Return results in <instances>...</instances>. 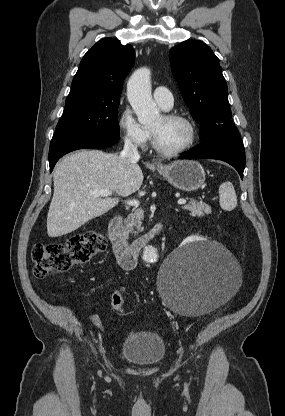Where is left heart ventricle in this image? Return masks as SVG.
<instances>
[{
	"label": "left heart ventricle",
	"mask_w": 285,
	"mask_h": 416,
	"mask_svg": "<svg viewBox=\"0 0 285 416\" xmlns=\"http://www.w3.org/2000/svg\"><path fill=\"white\" fill-rule=\"evenodd\" d=\"M158 145L166 150H176L183 147L189 139V130L185 123L169 120L159 115L151 124Z\"/></svg>",
	"instance_id": "left-heart-ventricle-1"
}]
</instances>
